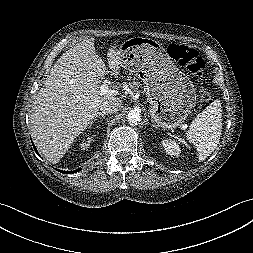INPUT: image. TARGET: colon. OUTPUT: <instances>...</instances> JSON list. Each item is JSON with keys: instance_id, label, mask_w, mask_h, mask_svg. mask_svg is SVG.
<instances>
[{"instance_id": "obj_1", "label": "colon", "mask_w": 253, "mask_h": 253, "mask_svg": "<svg viewBox=\"0 0 253 253\" xmlns=\"http://www.w3.org/2000/svg\"><path fill=\"white\" fill-rule=\"evenodd\" d=\"M168 55L178 64L183 66L195 78L201 79L204 75L205 64L198 52L185 45L171 43L167 47ZM201 97L204 100H209L210 95L207 91H201Z\"/></svg>"}]
</instances>
